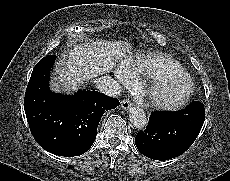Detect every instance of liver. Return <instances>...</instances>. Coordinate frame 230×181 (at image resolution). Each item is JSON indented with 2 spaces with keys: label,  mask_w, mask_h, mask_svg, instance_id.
<instances>
[{
  "label": "liver",
  "mask_w": 230,
  "mask_h": 181,
  "mask_svg": "<svg viewBox=\"0 0 230 181\" xmlns=\"http://www.w3.org/2000/svg\"><path fill=\"white\" fill-rule=\"evenodd\" d=\"M90 42L73 45L66 55H62L54 71L52 86L55 89L69 94L85 81L110 70L116 64L114 62L128 51V47L120 48V43L117 42Z\"/></svg>",
  "instance_id": "obj_1"
}]
</instances>
